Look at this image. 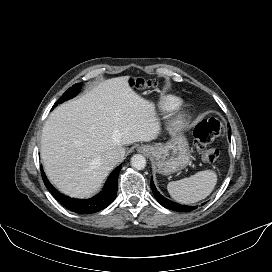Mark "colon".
Returning a JSON list of instances; mask_svg holds the SVG:
<instances>
[{"label":"colon","instance_id":"5ec220e1","mask_svg":"<svg viewBox=\"0 0 272 272\" xmlns=\"http://www.w3.org/2000/svg\"><path fill=\"white\" fill-rule=\"evenodd\" d=\"M132 85L137 88L144 89L157 86V83L149 80L137 79L132 81ZM222 133L223 125L217 118L203 120L195 127L193 132L194 142L204 162L213 163L218 158V149L208 146Z\"/></svg>","mask_w":272,"mask_h":272}]
</instances>
